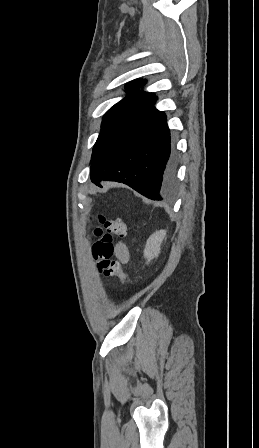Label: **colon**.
<instances>
[{"instance_id":"obj_1","label":"colon","mask_w":259,"mask_h":448,"mask_svg":"<svg viewBox=\"0 0 259 448\" xmlns=\"http://www.w3.org/2000/svg\"><path fill=\"white\" fill-rule=\"evenodd\" d=\"M100 225L93 230L96 241L92 247V255L100 273L116 276L121 282L127 280V274L118 260H113V236L125 237L127 224L120 219H107L99 216Z\"/></svg>"}]
</instances>
